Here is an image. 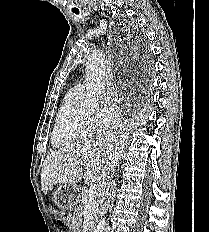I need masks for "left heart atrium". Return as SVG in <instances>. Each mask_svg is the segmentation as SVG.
<instances>
[{
	"label": "left heart atrium",
	"mask_w": 209,
	"mask_h": 232,
	"mask_svg": "<svg viewBox=\"0 0 209 232\" xmlns=\"http://www.w3.org/2000/svg\"><path fill=\"white\" fill-rule=\"evenodd\" d=\"M117 98L118 97H117L116 93L112 91L109 94L108 101L111 102V103H114L117 100Z\"/></svg>",
	"instance_id": "1"
}]
</instances>
